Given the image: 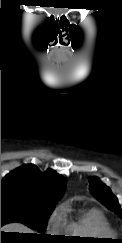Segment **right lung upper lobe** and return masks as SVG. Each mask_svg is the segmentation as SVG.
<instances>
[{"label": "right lung upper lobe", "mask_w": 122, "mask_h": 243, "mask_svg": "<svg viewBox=\"0 0 122 243\" xmlns=\"http://www.w3.org/2000/svg\"><path fill=\"white\" fill-rule=\"evenodd\" d=\"M65 190V179L52 169L42 172L26 164L7 174L1 181V197H15L29 202L54 205Z\"/></svg>", "instance_id": "obj_1"}]
</instances>
